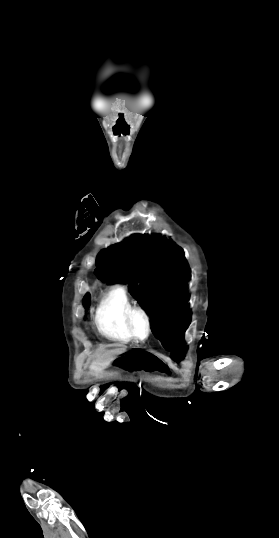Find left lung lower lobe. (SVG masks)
<instances>
[{
	"label": "left lung lower lobe",
	"mask_w": 279,
	"mask_h": 538,
	"mask_svg": "<svg viewBox=\"0 0 279 538\" xmlns=\"http://www.w3.org/2000/svg\"><path fill=\"white\" fill-rule=\"evenodd\" d=\"M155 337L162 342V345L167 350L173 351L171 357L174 361L179 362L183 359L185 351L187 350V346H185L183 342V335L171 331L157 334Z\"/></svg>",
	"instance_id": "left-lung-lower-lobe-1"
}]
</instances>
